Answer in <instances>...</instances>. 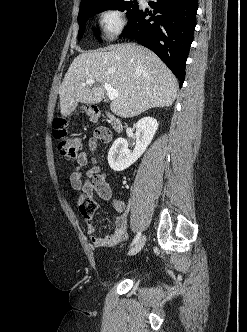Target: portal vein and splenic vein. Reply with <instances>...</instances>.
I'll return each mask as SVG.
<instances>
[{
	"instance_id": "obj_1",
	"label": "portal vein and splenic vein",
	"mask_w": 247,
	"mask_h": 332,
	"mask_svg": "<svg viewBox=\"0 0 247 332\" xmlns=\"http://www.w3.org/2000/svg\"><path fill=\"white\" fill-rule=\"evenodd\" d=\"M95 83L94 79H89L86 82H83L81 86H87V85H92ZM104 89L107 91L108 98L110 100H115L118 97V90L114 89L111 85L107 83H102Z\"/></svg>"
}]
</instances>
